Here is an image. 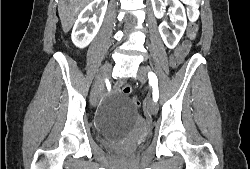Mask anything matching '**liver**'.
I'll return each mask as SVG.
<instances>
[{
	"mask_svg": "<svg viewBox=\"0 0 250 169\" xmlns=\"http://www.w3.org/2000/svg\"><path fill=\"white\" fill-rule=\"evenodd\" d=\"M90 0H59L58 12L64 32H68L72 28L78 12L81 8L88 4Z\"/></svg>",
	"mask_w": 250,
	"mask_h": 169,
	"instance_id": "liver-1",
	"label": "liver"
}]
</instances>
